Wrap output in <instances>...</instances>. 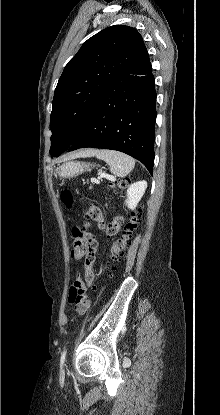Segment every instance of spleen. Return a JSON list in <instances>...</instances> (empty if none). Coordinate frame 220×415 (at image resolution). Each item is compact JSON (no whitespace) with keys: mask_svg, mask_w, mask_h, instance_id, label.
Instances as JSON below:
<instances>
[{"mask_svg":"<svg viewBox=\"0 0 220 415\" xmlns=\"http://www.w3.org/2000/svg\"><path fill=\"white\" fill-rule=\"evenodd\" d=\"M95 155L109 165L111 173L119 177L127 176L135 166V160L132 157L118 151L98 150Z\"/></svg>","mask_w":220,"mask_h":415,"instance_id":"3e777b00","label":"spleen"}]
</instances>
